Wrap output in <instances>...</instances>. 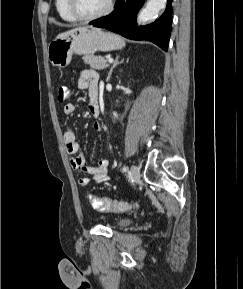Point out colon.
Here are the masks:
<instances>
[{
  "mask_svg": "<svg viewBox=\"0 0 243 289\" xmlns=\"http://www.w3.org/2000/svg\"><path fill=\"white\" fill-rule=\"evenodd\" d=\"M69 96L70 90L68 87L63 86L59 88L57 95V99L59 102H65L69 98ZM89 202L94 209L103 212H124L138 207L137 204L101 198L93 195L89 196Z\"/></svg>",
  "mask_w": 243,
  "mask_h": 289,
  "instance_id": "obj_1",
  "label": "colon"
}]
</instances>
